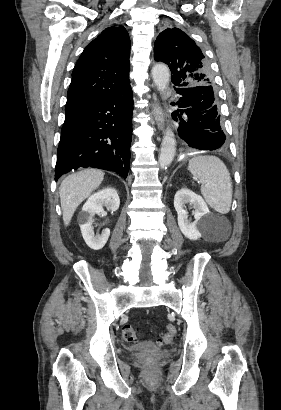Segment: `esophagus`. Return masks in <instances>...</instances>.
Listing matches in <instances>:
<instances>
[{
    "label": "esophagus",
    "mask_w": 281,
    "mask_h": 410,
    "mask_svg": "<svg viewBox=\"0 0 281 410\" xmlns=\"http://www.w3.org/2000/svg\"><path fill=\"white\" fill-rule=\"evenodd\" d=\"M152 115H153V118L156 122L157 127L160 130H163V128H164V117H163L161 106L158 102H154L152 104Z\"/></svg>",
    "instance_id": "obj_1"
}]
</instances>
